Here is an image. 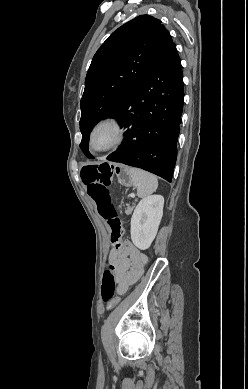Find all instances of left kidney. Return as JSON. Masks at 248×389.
<instances>
[{"label": "left kidney", "mask_w": 248, "mask_h": 389, "mask_svg": "<svg viewBox=\"0 0 248 389\" xmlns=\"http://www.w3.org/2000/svg\"><path fill=\"white\" fill-rule=\"evenodd\" d=\"M164 197L151 195L142 199L131 218V240L133 244L146 250L156 237L163 215Z\"/></svg>", "instance_id": "1"}]
</instances>
